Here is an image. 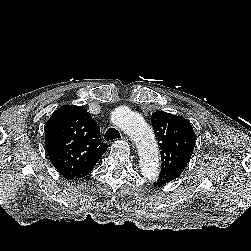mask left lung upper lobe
<instances>
[{"label":"left lung upper lobe","instance_id":"left-lung-upper-lobe-1","mask_svg":"<svg viewBox=\"0 0 251 251\" xmlns=\"http://www.w3.org/2000/svg\"><path fill=\"white\" fill-rule=\"evenodd\" d=\"M151 123L161 149V172L158 180L168 183L180 176L195 146V133L182 116L156 111Z\"/></svg>","mask_w":251,"mask_h":251}]
</instances>
